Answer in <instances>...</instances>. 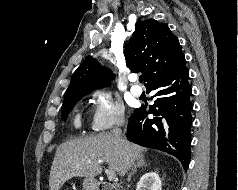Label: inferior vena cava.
<instances>
[{
  "mask_svg": "<svg viewBox=\"0 0 238 190\" xmlns=\"http://www.w3.org/2000/svg\"><path fill=\"white\" fill-rule=\"evenodd\" d=\"M112 134L114 135V137L118 140H120V136H121V130L117 127L112 131Z\"/></svg>",
  "mask_w": 238,
  "mask_h": 190,
  "instance_id": "1",
  "label": "inferior vena cava"
}]
</instances>
